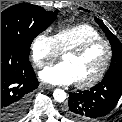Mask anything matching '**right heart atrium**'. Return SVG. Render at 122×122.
Returning a JSON list of instances; mask_svg holds the SVG:
<instances>
[{
	"label": "right heart atrium",
	"instance_id": "1",
	"mask_svg": "<svg viewBox=\"0 0 122 122\" xmlns=\"http://www.w3.org/2000/svg\"><path fill=\"white\" fill-rule=\"evenodd\" d=\"M60 52L54 36L46 32L39 33L31 44V58L38 68H43L56 60Z\"/></svg>",
	"mask_w": 122,
	"mask_h": 122
}]
</instances>
